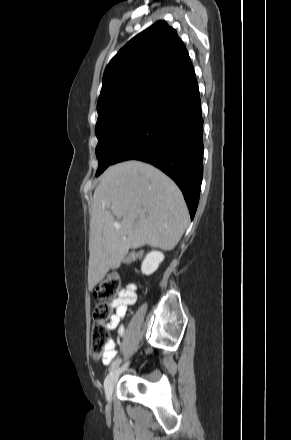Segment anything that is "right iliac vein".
Instances as JSON below:
<instances>
[{"mask_svg": "<svg viewBox=\"0 0 291 440\" xmlns=\"http://www.w3.org/2000/svg\"><path fill=\"white\" fill-rule=\"evenodd\" d=\"M129 362H126L121 368L113 369L111 372L107 375L104 381V390L106 394V398L108 401L111 400L113 389L115 386L116 381L119 378V375L121 372L127 368Z\"/></svg>", "mask_w": 291, "mask_h": 440, "instance_id": "1", "label": "right iliac vein"}]
</instances>
